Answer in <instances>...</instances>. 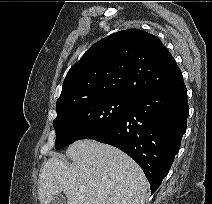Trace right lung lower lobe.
I'll use <instances>...</instances> for the list:
<instances>
[{"label":"right lung lower lobe","mask_w":212,"mask_h":204,"mask_svg":"<svg viewBox=\"0 0 212 204\" xmlns=\"http://www.w3.org/2000/svg\"><path fill=\"white\" fill-rule=\"evenodd\" d=\"M187 116V90L181 78L160 90L132 98L120 121L87 139L128 154L143 169L154 193L180 148Z\"/></svg>","instance_id":"1"}]
</instances>
